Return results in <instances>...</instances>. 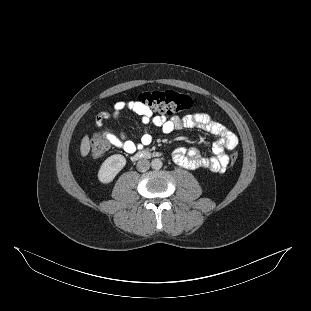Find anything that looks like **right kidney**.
Masks as SVG:
<instances>
[{
	"label": "right kidney",
	"mask_w": 311,
	"mask_h": 311,
	"mask_svg": "<svg viewBox=\"0 0 311 311\" xmlns=\"http://www.w3.org/2000/svg\"><path fill=\"white\" fill-rule=\"evenodd\" d=\"M126 165V159L121 154H115L108 157L101 165L98 172V179L102 183L111 182L115 176Z\"/></svg>",
	"instance_id": "1"
}]
</instances>
